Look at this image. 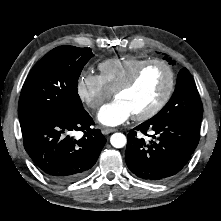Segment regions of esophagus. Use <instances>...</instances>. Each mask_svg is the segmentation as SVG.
<instances>
[{
  "instance_id": "34e87169",
  "label": "esophagus",
  "mask_w": 221,
  "mask_h": 221,
  "mask_svg": "<svg viewBox=\"0 0 221 221\" xmlns=\"http://www.w3.org/2000/svg\"><path fill=\"white\" fill-rule=\"evenodd\" d=\"M115 131H117V129H115V128H104V129L102 130V133L105 134V135H107V134L112 133V132H115Z\"/></svg>"
}]
</instances>
